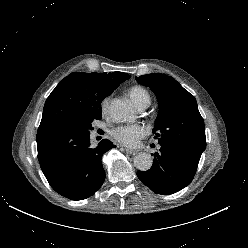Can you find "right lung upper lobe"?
Wrapping results in <instances>:
<instances>
[{
	"label": "right lung upper lobe",
	"mask_w": 248,
	"mask_h": 248,
	"mask_svg": "<svg viewBox=\"0 0 248 248\" xmlns=\"http://www.w3.org/2000/svg\"><path fill=\"white\" fill-rule=\"evenodd\" d=\"M129 78L130 75L123 72H73L65 77L45 102L37 141L101 107L103 99Z\"/></svg>",
	"instance_id": "1"
}]
</instances>
